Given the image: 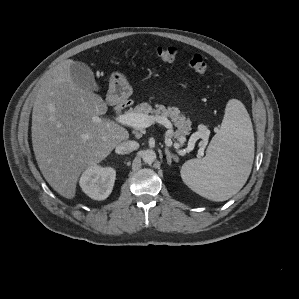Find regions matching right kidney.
Here are the masks:
<instances>
[{"label": "right kidney", "instance_id": "right-kidney-1", "mask_svg": "<svg viewBox=\"0 0 299 299\" xmlns=\"http://www.w3.org/2000/svg\"><path fill=\"white\" fill-rule=\"evenodd\" d=\"M116 171L111 167L92 165L86 168L80 178L85 194L95 200H104L112 192Z\"/></svg>", "mask_w": 299, "mask_h": 299}]
</instances>
